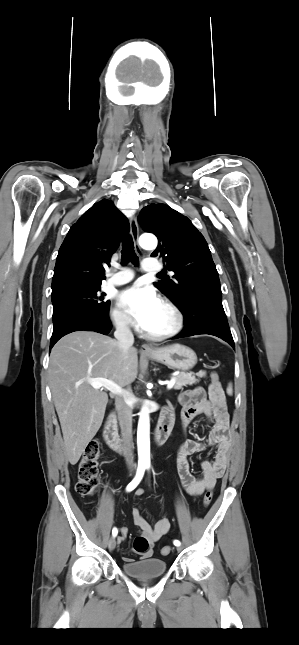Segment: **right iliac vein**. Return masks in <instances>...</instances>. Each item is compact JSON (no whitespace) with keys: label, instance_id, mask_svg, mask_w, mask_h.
Masks as SVG:
<instances>
[{"label":"right iliac vein","instance_id":"1","mask_svg":"<svg viewBox=\"0 0 299 645\" xmlns=\"http://www.w3.org/2000/svg\"><path fill=\"white\" fill-rule=\"evenodd\" d=\"M108 547H109L110 550L115 549V547H116V539L115 538H111L109 540Z\"/></svg>","mask_w":299,"mask_h":645}]
</instances>
